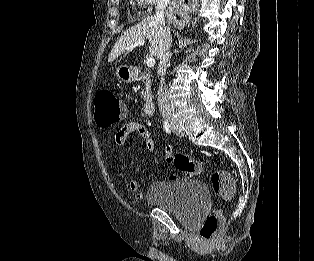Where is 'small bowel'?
I'll use <instances>...</instances> for the list:
<instances>
[{
	"label": "small bowel",
	"mask_w": 314,
	"mask_h": 261,
	"mask_svg": "<svg viewBox=\"0 0 314 261\" xmlns=\"http://www.w3.org/2000/svg\"><path fill=\"white\" fill-rule=\"evenodd\" d=\"M133 135H139L143 138L145 148L149 153H152L154 151L155 143L150 131L145 125L138 122L131 121L121 125L116 133V141L118 143H124ZM169 155H172L171 146L166 147L165 158H167V156ZM136 170L137 169H135V171ZM139 186L140 184L138 180L132 179L129 181V189L133 192H136L135 198L137 200H141L143 198V194L141 192H138Z\"/></svg>",
	"instance_id": "obj_1"
}]
</instances>
